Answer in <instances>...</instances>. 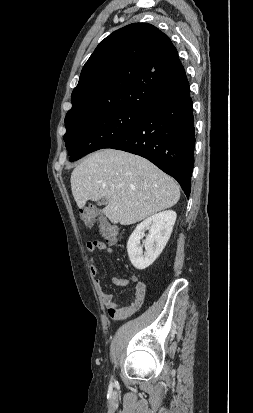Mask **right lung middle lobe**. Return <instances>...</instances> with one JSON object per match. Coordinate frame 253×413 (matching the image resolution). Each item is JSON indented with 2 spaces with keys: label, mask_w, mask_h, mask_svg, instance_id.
Listing matches in <instances>:
<instances>
[{
  "label": "right lung middle lobe",
  "mask_w": 253,
  "mask_h": 413,
  "mask_svg": "<svg viewBox=\"0 0 253 413\" xmlns=\"http://www.w3.org/2000/svg\"><path fill=\"white\" fill-rule=\"evenodd\" d=\"M144 111L115 109L65 124L64 141L70 161H75L119 140L141 121Z\"/></svg>",
  "instance_id": "1"
}]
</instances>
